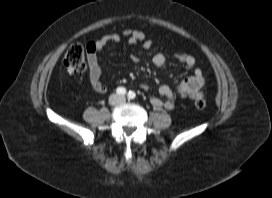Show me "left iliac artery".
Returning <instances> with one entry per match:
<instances>
[{
	"instance_id": "44dca946",
	"label": "left iliac artery",
	"mask_w": 272,
	"mask_h": 198,
	"mask_svg": "<svg viewBox=\"0 0 272 198\" xmlns=\"http://www.w3.org/2000/svg\"><path fill=\"white\" fill-rule=\"evenodd\" d=\"M135 96H136V94L133 91H129V93H128V98L129 99H134Z\"/></svg>"
}]
</instances>
